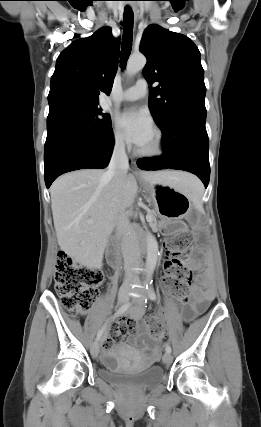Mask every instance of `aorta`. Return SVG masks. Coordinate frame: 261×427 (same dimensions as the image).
Instances as JSON below:
<instances>
[{"label":"aorta","mask_w":261,"mask_h":427,"mask_svg":"<svg viewBox=\"0 0 261 427\" xmlns=\"http://www.w3.org/2000/svg\"><path fill=\"white\" fill-rule=\"evenodd\" d=\"M146 64V57L142 54L132 55L126 65V73L133 76L144 68ZM146 277L149 279L156 268L158 260V243L156 238L150 234H146Z\"/></svg>","instance_id":"1"}]
</instances>
